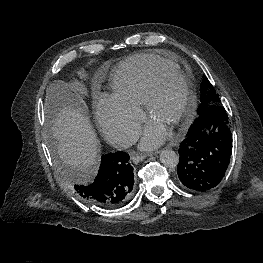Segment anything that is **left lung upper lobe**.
I'll return each mask as SVG.
<instances>
[{"label":"left lung upper lobe","instance_id":"5c2ea615","mask_svg":"<svg viewBox=\"0 0 263 263\" xmlns=\"http://www.w3.org/2000/svg\"><path fill=\"white\" fill-rule=\"evenodd\" d=\"M200 92H201V97H200L201 104L199 105L197 110L199 116L210 106L219 105L220 103L219 95L216 93L214 87L211 85L207 77L203 79Z\"/></svg>","mask_w":263,"mask_h":263}]
</instances>
